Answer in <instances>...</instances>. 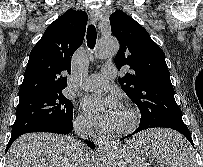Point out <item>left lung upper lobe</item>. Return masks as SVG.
<instances>
[{"label":"left lung upper lobe","mask_w":203,"mask_h":167,"mask_svg":"<svg viewBox=\"0 0 203 167\" xmlns=\"http://www.w3.org/2000/svg\"><path fill=\"white\" fill-rule=\"evenodd\" d=\"M110 24L120 43L115 65L118 70L128 66L130 69L118 81L141 112L139 126L183 123L163 50L122 10L111 14Z\"/></svg>","instance_id":"obj_1"}]
</instances>
